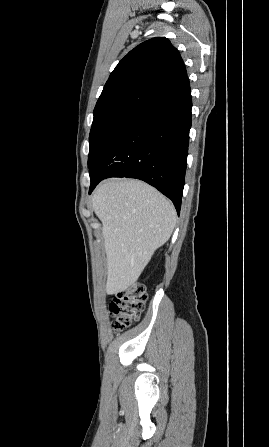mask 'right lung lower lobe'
<instances>
[{
    "instance_id": "1",
    "label": "right lung lower lobe",
    "mask_w": 269,
    "mask_h": 447,
    "mask_svg": "<svg viewBox=\"0 0 269 447\" xmlns=\"http://www.w3.org/2000/svg\"><path fill=\"white\" fill-rule=\"evenodd\" d=\"M191 108L186 76L129 115L94 160L89 194L105 178H137L171 199L179 214Z\"/></svg>"
}]
</instances>
